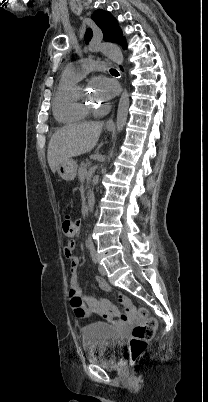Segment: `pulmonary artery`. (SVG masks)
Masks as SVG:
<instances>
[{"instance_id":"e3ab8cb5","label":"pulmonary artery","mask_w":208,"mask_h":402,"mask_svg":"<svg viewBox=\"0 0 208 402\" xmlns=\"http://www.w3.org/2000/svg\"><path fill=\"white\" fill-rule=\"evenodd\" d=\"M90 62L88 59H81L75 63H70L65 68V73L68 76H71L77 80H80L86 73H88L91 69L84 65L83 63ZM98 65L95 66V69L98 71H106L108 69V61L107 60H99Z\"/></svg>"}]
</instances>
